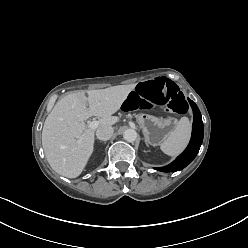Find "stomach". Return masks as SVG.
<instances>
[{
	"label": "stomach",
	"mask_w": 248,
	"mask_h": 248,
	"mask_svg": "<svg viewBox=\"0 0 248 248\" xmlns=\"http://www.w3.org/2000/svg\"><path fill=\"white\" fill-rule=\"evenodd\" d=\"M137 121L146 143L152 146L162 144L177 125L174 118H158L150 114L138 115Z\"/></svg>",
	"instance_id": "1"
}]
</instances>
